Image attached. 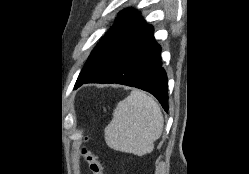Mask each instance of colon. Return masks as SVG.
<instances>
[{
	"label": "colon",
	"mask_w": 249,
	"mask_h": 174,
	"mask_svg": "<svg viewBox=\"0 0 249 174\" xmlns=\"http://www.w3.org/2000/svg\"><path fill=\"white\" fill-rule=\"evenodd\" d=\"M81 153L85 157V160L87 161L89 166V170L92 174H103V169L100 160L93 151L84 146L81 149Z\"/></svg>",
	"instance_id": "colon-1"
}]
</instances>
